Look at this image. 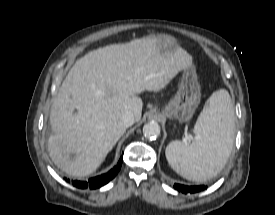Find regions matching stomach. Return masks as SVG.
Wrapping results in <instances>:
<instances>
[{"instance_id": "1", "label": "stomach", "mask_w": 275, "mask_h": 215, "mask_svg": "<svg viewBox=\"0 0 275 215\" xmlns=\"http://www.w3.org/2000/svg\"><path fill=\"white\" fill-rule=\"evenodd\" d=\"M157 46L162 54L174 53L179 47L176 40L169 35L157 37ZM201 100V89L195 68L187 67L183 70L178 91L174 98L163 108L162 114L169 118L188 122Z\"/></svg>"}]
</instances>
